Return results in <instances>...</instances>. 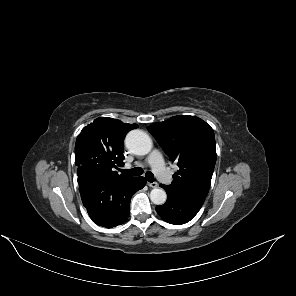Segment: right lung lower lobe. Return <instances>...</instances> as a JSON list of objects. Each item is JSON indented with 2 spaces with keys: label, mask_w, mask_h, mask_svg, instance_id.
Returning <instances> with one entry per match:
<instances>
[{
  "label": "right lung lower lobe",
  "mask_w": 296,
  "mask_h": 296,
  "mask_svg": "<svg viewBox=\"0 0 296 296\" xmlns=\"http://www.w3.org/2000/svg\"><path fill=\"white\" fill-rule=\"evenodd\" d=\"M77 175L81 199L90 218L106 228L126 221L132 195L146 184L144 177L107 182L87 171L78 170Z\"/></svg>",
  "instance_id": "1"
}]
</instances>
